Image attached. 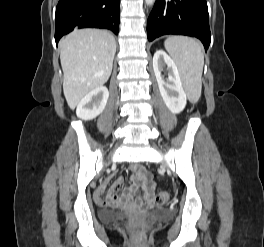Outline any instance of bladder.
I'll return each mask as SVG.
<instances>
[{"mask_svg": "<svg viewBox=\"0 0 264 247\" xmlns=\"http://www.w3.org/2000/svg\"><path fill=\"white\" fill-rule=\"evenodd\" d=\"M166 213L163 210H153L142 214V219L145 221H154L163 218ZM99 219L105 223H122L129 220V213L122 209L108 208L101 210Z\"/></svg>", "mask_w": 264, "mask_h": 247, "instance_id": "obj_1", "label": "bladder"}]
</instances>
